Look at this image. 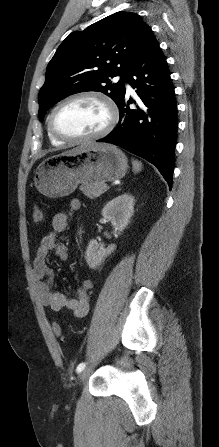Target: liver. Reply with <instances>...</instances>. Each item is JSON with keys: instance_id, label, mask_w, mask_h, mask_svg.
<instances>
[{"instance_id": "obj_1", "label": "liver", "mask_w": 219, "mask_h": 447, "mask_svg": "<svg viewBox=\"0 0 219 447\" xmlns=\"http://www.w3.org/2000/svg\"><path fill=\"white\" fill-rule=\"evenodd\" d=\"M88 145H91V144H87V145H82V146H80V147H77V148H75V149H72V150L66 151V152H64V154H72V153H75V152H77V151H79V150L83 149L84 147H86V146H88Z\"/></svg>"}]
</instances>
